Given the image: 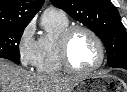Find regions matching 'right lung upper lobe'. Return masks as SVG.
Wrapping results in <instances>:
<instances>
[{"label":"right lung upper lobe","instance_id":"right-lung-upper-lobe-1","mask_svg":"<svg viewBox=\"0 0 127 92\" xmlns=\"http://www.w3.org/2000/svg\"><path fill=\"white\" fill-rule=\"evenodd\" d=\"M44 0H0V27L27 26Z\"/></svg>","mask_w":127,"mask_h":92}]
</instances>
